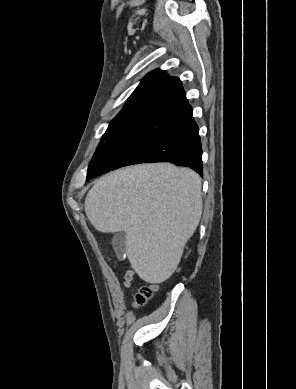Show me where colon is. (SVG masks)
Returning <instances> with one entry per match:
<instances>
[{
    "label": "colon",
    "instance_id": "obj_1",
    "mask_svg": "<svg viewBox=\"0 0 296 389\" xmlns=\"http://www.w3.org/2000/svg\"><path fill=\"white\" fill-rule=\"evenodd\" d=\"M157 290L156 285H145L142 286L134 296V306L140 307L145 305L148 300L151 299L155 291Z\"/></svg>",
    "mask_w": 296,
    "mask_h": 389
}]
</instances>
